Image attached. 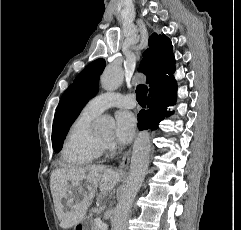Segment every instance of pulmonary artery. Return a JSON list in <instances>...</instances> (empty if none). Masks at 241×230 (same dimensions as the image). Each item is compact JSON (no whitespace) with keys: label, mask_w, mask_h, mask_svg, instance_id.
Returning <instances> with one entry per match:
<instances>
[{"label":"pulmonary artery","mask_w":241,"mask_h":230,"mask_svg":"<svg viewBox=\"0 0 241 230\" xmlns=\"http://www.w3.org/2000/svg\"><path fill=\"white\" fill-rule=\"evenodd\" d=\"M135 105V97L131 94L121 95L116 92H105L92 98L85 105L84 110L99 115L111 107L133 108Z\"/></svg>","instance_id":"pulmonary-artery-1"}]
</instances>
